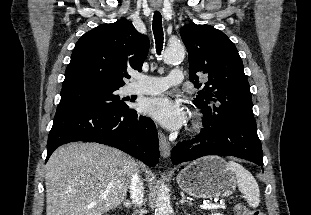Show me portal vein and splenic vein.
<instances>
[{
    "label": "portal vein and splenic vein",
    "mask_w": 311,
    "mask_h": 215,
    "mask_svg": "<svg viewBox=\"0 0 311 215\" xmlns=\"http://www.w3.org/2000/svg\"><path fill=\"white\" fill-rule=\"evenodd\" d=\"M201 208L204 209H212V208H224V205L221 204H212V203H205L203 205H200Z\"/></svg>",
    "instance_id": "1"
}]
</instances>
